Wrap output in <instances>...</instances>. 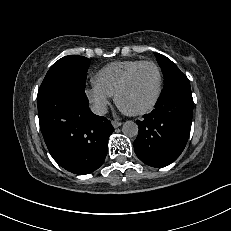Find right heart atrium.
<instances>
[{"mask_svg": "<svg viewBox=\"0 0 231 231\" xmlns=\"http://www.w3.org/2000/svg\"><path fill=\"white\" fill-rule=\"evenodd\" d=\"M85 93L94 110L104 114L110 104L111 95L101 90L95 83L89 86Z\"/></svg>", "mask_w": 231, "mask_h": 231, "instance_id": "d8ad5b80", "label": "right heart atrium"}]
</instances>
